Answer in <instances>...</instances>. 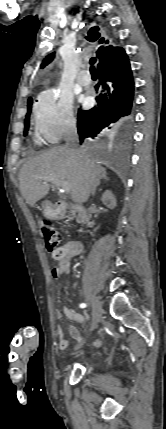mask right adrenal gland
Segmentation results:
<instances>
[{
	"instance_id": "1",
	"label": "right adrenal gland",
	"mask_w": 166,
	"mask_h": 429,
	"mask_svg": "<svg viewBox=\"0 0 166 429\" xmlns=\"http://www.w3.org/2000/svg\"><path fill=\"white\" fill-rule=\"evenodd\" d=\"M101 179H103V180H105V181H109V178L106 176V174H104V175L101 177ZM99 185H100V181H98V182L96 183V185L92 188V190H91V195H94V193H95V191H96V188H97Z\"/></svg>"
}]
</instances>
